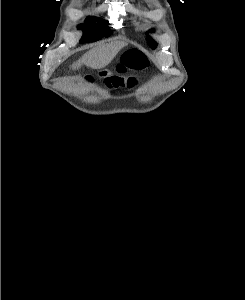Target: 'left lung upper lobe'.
Returning a JSON list of instances; mask_svg holds the SVG:
<instances>
[{"instance_id":"1","label":"left lung upper lobe","mask_w":245,"mask_h":300,"mask_svg":"<svg viewBox=\"0 0 245 300\" xmlns=\"http://www.w3.org/2000/svg\"><path fill=\"white\" fill-rule=\"evenodd\" d=\"M148 43L150 45L151 48H155L156 47V44L155 42L148 36Z\"/></svg>"}]
</instances>
